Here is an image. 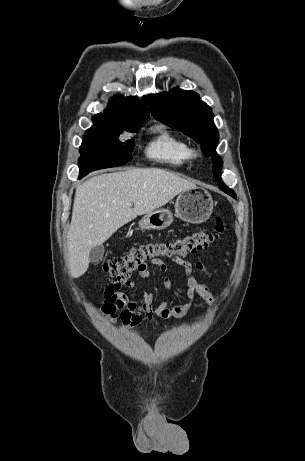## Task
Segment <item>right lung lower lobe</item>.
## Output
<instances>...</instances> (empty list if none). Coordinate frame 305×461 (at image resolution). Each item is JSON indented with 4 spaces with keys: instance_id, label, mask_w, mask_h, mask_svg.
<instances>
[{
    "instance_id": "1",
    "label": "right lung lower lobe",
    "mask_w": 305,
    "mask_h": 461,
    "mask_svg": "<svg viewBox=\"0 0 305 461\" xmlns=\"http://www.w3.org/2000/svg\"><path fill=\"white\" fill-rule=\"evenodd\" d=\"M83 175L80 173V177H82Z\"/></svg>"
}]
</instances>
